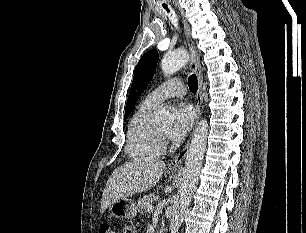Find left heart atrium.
I'll use <instances>...</instances> for the list:
<instances>
[{
  "mask_svg": "<svg viewBox=\"0 0 306 233\" xmlns=\"http://www.w3.org/2000/svg\"><path fill=\"white\" fill-rule=\"evenodd\" d=\"M194 120L193 108L185 102H180L174 109V122L169 132L170 137L176 141L185 138L192 128Z\"/></svg>",
  "mask_w": 306,
  "mask_h": 233,
  "instance_id": "left-heart-atrium-1",
  "label": "left heart atrium"
}]
</instances>
